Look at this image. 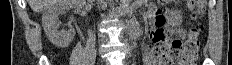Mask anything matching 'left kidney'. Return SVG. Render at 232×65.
<instances>
[{"instance_id":"obj_1","label":"left kidney","mask_w":232,"mask_h":65,"mask_svg":"<svg viewBox=\"0 0 232 65\" xmlns=\"http://www.w3.org/2000/svg\"><path fill=\"white\" fill-rule=\"evenodd\" d=\"M173 17V25L174 26H179L182 23V13L181 11H174L172 13Z\"/></svg>"}]
</instances>
